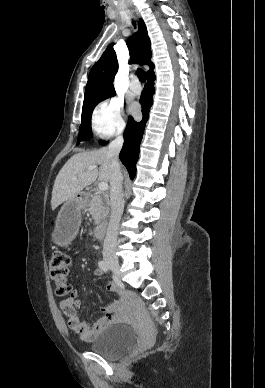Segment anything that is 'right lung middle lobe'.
<instances>
[{"label":"right lung middle lobe","mask_w":265,"mask_h":388,"mask_svg":"<svg viewBox=\"0 0 265 388\" xmlns=\"http://www.w3.org/2000/svg\"><path fill=\"white\" fill-rule=\"evenodd\" d=\"M115 95V90L97 94L83 102L81 125L79 128L78 142L87 141L91 138V116L95 106L102 100ZM107 141H100L101 145L107 144Z\"/></svg>","instance_id":"1"}]
</instances>
